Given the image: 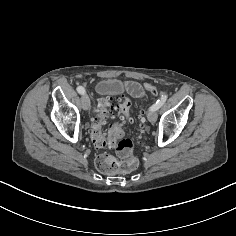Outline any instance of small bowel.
Here are the masks:
<instances>
[{
	"label": "small bowel",
	"mask_w": 236,
	"mask_h": 236,
	"mask_svg": "<svg viewBox=\"0 0 236 236\" xmlns=\"http://www.w3.org/2000/svg\"><path fill=\"white\" fill-rule=\"evenodd\" d=\"M135 86H137V85L134 84V83H127V89H128V91H129L131 94H133L134 96H136V97H141V96H143L144 93H143L142 90L138 89V90H136L135 92H133V91L131 90V88H132V87H135Z\"/></svg>",
	"instance_id": "small-bowel-1"
}]
</instances>
